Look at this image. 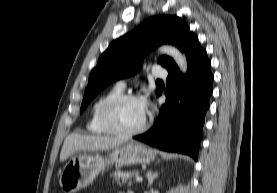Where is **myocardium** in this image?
I'll list each match as a JSON object with an SVG mask.
<instances>
[{
	"instance_id": "f54148a6",
	"label": "myocardium",
	"mask_w": 277,
	"mask_h": 193,
	"mask_svg": "<svg viewBox=\"0 0 277 193\" xmlns=\"http://www.w3.org/2000/svg\"><path fill=\"white\" fill-rule=\"evenodd\" d=\"M128 100H140V97L132 93H121L108 98L101 105L99 110V120L107 133L119 137H131L140 134L147 129L149 124L147 117H145L143 123L139 127L132 130H121L116 126L114 121V110L119 104Z\"/></svg>"
}]
</instances>
